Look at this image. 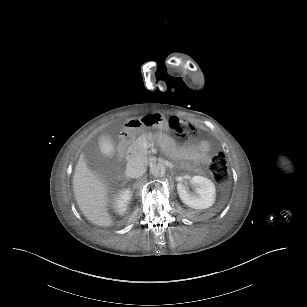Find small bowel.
I'll return each mask as SVG.
<instances>
[{"label":"small bowel","instance_id":"small-bowel-1","mask_svg":"<svg viewBox=\"0 0 307 307\" xmlns=\"http://www.w3.org/2000/svg\"><path fill=\"white\" fill-rule=\"evenodd\" d=\"M188 154L196 163H206L211 156L210 145L207 141H200L197 144L188 146Z\"/></svg>","mask_w":307,"mask_h":307}]
</instances>
